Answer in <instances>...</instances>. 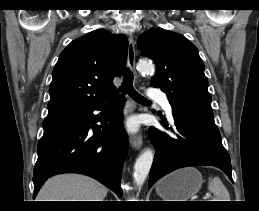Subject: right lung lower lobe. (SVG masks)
Here are the masks:
<instances>
[{
	"label": "right lung lower lobe",
	"instance_id": "obj_1",
	"mask_svg": "<svg viewBox=\"0 0 259 211\" xmlns=\"http://www.w3.org/2000/svg\"><path fill=\"white\" fill-rule=\"evenodd\" d=\"M123 105V97L117 95L87 110L46 117L37 148L33 198L49 177L67 172L91 176L121 197V171L128 152ZM95 110L101 117L93 114ZM98 121L101 126L95 125Z\"/></svg>",
	"mask_w": 259,
	"mask_h": 211
}]
</instances>
